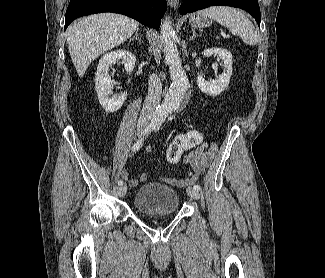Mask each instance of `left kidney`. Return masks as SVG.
<instances>
[{"mask_svg":"<svg viewBox=\"0 0 325 278\" xmlns=\"http://www.w3.org/2000/svg\"><path fill=\"white\" fill-rule=\"evenodd\" d=\"M202 54L204 57L218 55L223 60V72L218 76V79L206 81L201 75L197 76V85L203 93L218 96L229 85L232 76V54L226 49L219 48L206 49Z\"/></svg>","mask_w":325,"mask_h":278,"instance_id":"1","label":"left kidney"}]
</instances>
